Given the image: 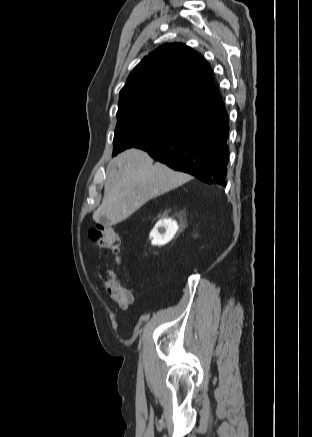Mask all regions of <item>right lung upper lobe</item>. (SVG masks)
<instances>
[{
	"mask_svg": "<svg viewBox=\"0 0 312 437\" xmlns=\"http://www.w3.org/2000/svg\"><path fill=\"white\" fill-rule=\"evenodd\" d=\"M219 100L206 60L185 44L171 43L144 57L130 73L119 109L158 102L198 112Z\"/></svg>",
	"mask_w": 312,
	"mask_h": 437,
	"instance_id": "right-lung-upper-lobe-1",
	"label": "right lung upper lobe"
}]
</instances>
